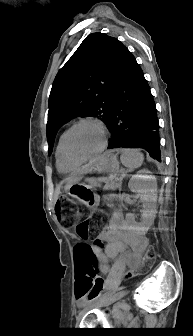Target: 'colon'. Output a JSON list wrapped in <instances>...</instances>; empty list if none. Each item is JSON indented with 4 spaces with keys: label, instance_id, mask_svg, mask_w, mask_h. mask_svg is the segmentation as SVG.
Wrapping results in <instances>:
<instances>
[{
    "label": "colon",
    "instance_id": "obj_1",
    "mask_svg": "<svg viewBox=\"0 0 193 336\" xmlns=\"http://www.w3.org/2000/svg\"><path fill=\"white\" fill-rule=\"evenodd\" d=\"M56 207L60 213L61 223L67 228L74 227L77 235L83 240L90 239L102 221L101 216H97L94 219L80 220L77 214L72 213L74 202L71 196L59 199ZM95 245L98 248H101L103 246V239L98 238ZM154 258L155 250L154 248L149 247L142 258L141 269L148 267ZM75 261L77 270L81 275H87L89 279L93 281V284L101 283V277L98 269V260L89 246L85 244L76 246ZM139 270L140 269L136 271ZM77 291L79 297L90 299L91 296L85 293V290L82 286H78Z\"/></svg>",
    "mask_w": 193,
    "mask_h": 336
}]
</instances>
